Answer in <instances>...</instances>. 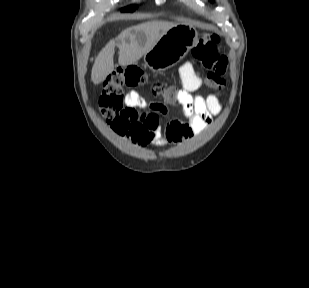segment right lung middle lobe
Instances as JSON below:
<instances>
[{"label":"right lung middle lobe","instance_id":"right-lung-middle-lobe-1","mask_svg":"<svg viewBox=\"0 0 309 288\" xmlns=\"http://www.w3.org/2000/svg\"><path fill=\"white\" fill-rule=\"evenodd\" d=\"M136 8H137V6H128V7L121 9V11L122 12H133V11H135Z\"/></svg>","mask_w":309,"mask_h":288}]
</instances>
